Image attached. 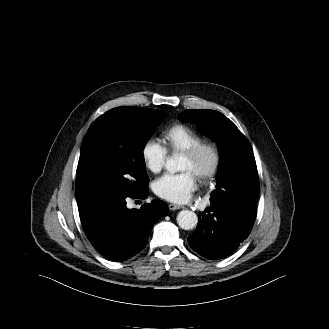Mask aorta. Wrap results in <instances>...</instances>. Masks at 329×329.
<instances>
[{"label": "aorta", "instance_id": "aorta-1", "mask_svg": "<svg viewBox=\"0 0 329 329\" xmlns=\"http://www.w3.org/2000/svg\"><path fill=\"white\" fill-rule=\"evenodd\" d=\"M182 163L183 158L181 156H175L167 160L165 167L170 173H175L183 170ZM177 223L182 229L191 230L196 227L198 217L193 211L182 210L177 215Z\"/></svg>", "mask_w": 329, "mask_h": 329}]
</instances>
